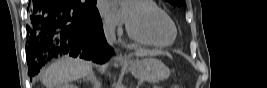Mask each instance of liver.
<instances>
[{
  "label": "liver",
  "mask_w": 267,
  "mask_h": 88,
  "mask_svg": "<svg viewBox=\"0 0 267 88\" xmlns=\"http://www.w3.org/2000/svg\"><path fill=\"white\" fill-rule=\"evenodd\" d=\"M165 54L162 51L139 49L137 57L156 56ZM116 66H118L116 64ZM93 73L92 64L87 61L63 58L52 63L42 72L41 81L46 88H55L64 83L88 76Z\"/></svg>",
  "instance_id": "1"
}]
</instances>
